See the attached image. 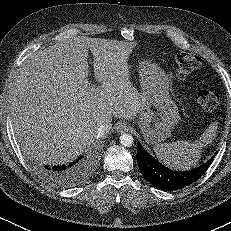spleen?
Here are the masks:
<instances>
[{
    "label": "spleen",
    "instance_id": "3e777b00",
    "mask_svg": "<svg viewBox=\"0 0 231 231\" xmlns=\"http://www.w3.org/2000/svg\"><path fill=\"white\" fill-rule=\"evenodd\" d=\"M218 129V122H212L199 139L157 144L153 150L161 163L185 171L195 167L201 158L202 148L212 143Z\"/></svg>",
    "mask_w": 231,
    "mask_h": 231
}]
</instances>
